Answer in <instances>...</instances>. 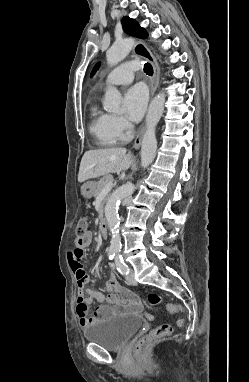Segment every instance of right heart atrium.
Returning a JSON list of instances; mask_svg holds the SVG:
<instances>
[{
	"mask_svg": "<svg viewBox=\"0 0 249 382\" xmlns=\"http://www.w3.org/2000/svg\"><path fill=\"white\" fill-rule=\"evenodd\" d=\"M109 127L117 140L126 139L132 130L131 124L122 116L117 115H110Z\"/></svg>",
	"mask_w": 249,
	"mask_h": 382,
	"instance_id": "right-heart-atrium-1",
	"label": "right heart atrium"
}]
</instances>
